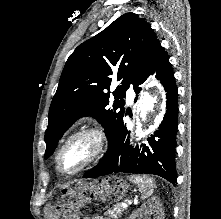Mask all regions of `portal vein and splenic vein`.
Here are the masks:
<instances>
[{
	"label": "portal vein and splenic vein",
	"mask_w": 221,
	"mask_h": 219,
	"mask_svg": "<svg viewBox=\"0 0 221 219\" xmlns=\"http://www.w3.org/2000/svg\"><path fill=\"white\" fill-rule=\"evenodd\" d=\"M127 203H128V204H131L132 201H128ZM119 205H121V206L124 207V208L128 206L126 203H120Z\"/></svg>",
	"instance_id": "1"
}]
</instances>
